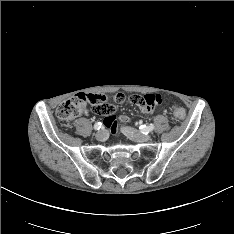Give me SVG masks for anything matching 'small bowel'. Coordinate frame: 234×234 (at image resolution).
<instances>
[{"mask_svg":"<svg viewBox=\"0 0 234 234\" xmlns=\"http://www.w3.org/2000/svg\"><path fill=\"white\" fill-rule=\"evenodd\" d=\"M115 103H131L135 108H140L143 113H151L155 108H160L165 103V98L160 93H135L133 95L125 96L122 92H117L112 97ZM108 95L101 93H91L86 98L88 110L93 115L102 117V123L109 128L112 133L116 132L117 118L115 116L117 109L115 105L109 103ZM120 123H127L129 117L121 115L118 119Z\"/></svg>","mask_w":234,"mask_h":234,"instance_id":"1","label":"small bowel"}]
</instances>
